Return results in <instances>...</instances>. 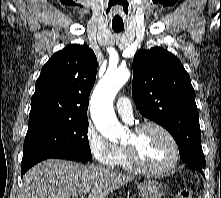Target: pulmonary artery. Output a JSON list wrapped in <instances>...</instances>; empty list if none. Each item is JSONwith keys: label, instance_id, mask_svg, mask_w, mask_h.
I'll return each instance as SVG.
<instances>
[{"label": "pulmonary artery", "instance_id": "obj_1", "mask_svg": "<svg viewBox=\"0 0 221 198\" xmlns=\"http://www.w3.org/2000/svg\"><path fill=\"white\" fill-rule=\"evenodd\" d=\"M116 110L119 115L127 122L131 123L133 120L132 105L127 97H120L116 102Z\"/></svg>", "mask_w": 221, "mask_h": 198}]
</instances>
